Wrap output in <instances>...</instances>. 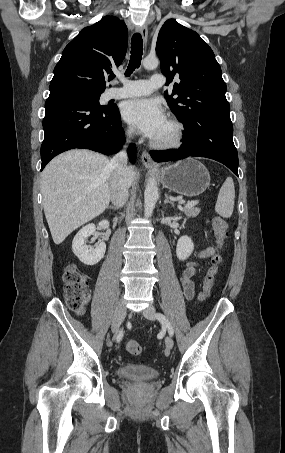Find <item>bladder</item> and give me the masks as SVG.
I'll list each match as a JSON object with an SVG mask.
<instances>
[{
    "mask_svg": "<svg viewBox=\"0 0 285 453\" xmlns=\"http://www.w3.org/2000/svg\"><path fill=\"white\" fill-rule=\"evenodd\" d=\"M117 375L127 380L147 382L156 379L159 376V371L151 366L129 363L120 366L117 369Z\"/></svg>",
    "mask_w": 285,
    "mask_h": 453,
    "instance_id": "obj_1",
    "label": "bladder"
}]
</instances>
